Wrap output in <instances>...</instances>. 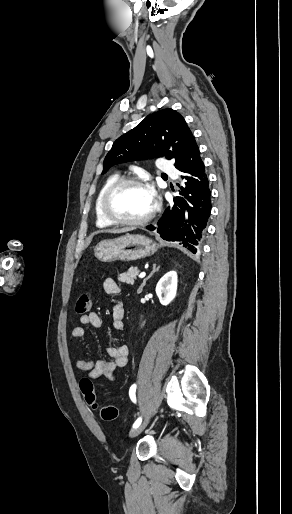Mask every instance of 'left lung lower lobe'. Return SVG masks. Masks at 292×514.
<instances>
[{"instance_id": "left-lung-lower-lobe-1", "label": "left lung lower lobe", "mask_w": 292, "mask_h": 514, "mask_svg": "<svg viewBox=\"0 0 292 514\" xmlns=\"http://www.w3.org/2000/svg\"><path fill=\"white\" fill-rule=\"evenodd\" d=\"M185 181L174 205L164 211L158 223L146 228L168 241H181L196 253L206 232L211 212V190L199 148L194 140L184 162L177 168Z\"/></svg>"}]
</instances>
